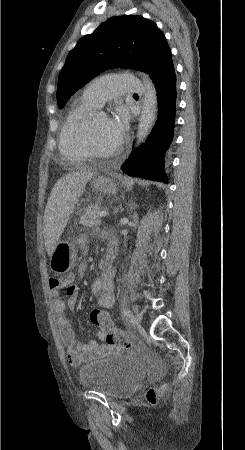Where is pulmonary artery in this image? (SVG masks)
<instances>
[{"label":"pulmonary artery","instance_id":"pulmonary-artery-1","mask_svg":"<svg viewBox=\"0 0 245 450\" xmlns=\"http://www.w3.org/2000/svg\"><path fill=\"white\" fill-rule=\"evenodd\" d=\"M142 81L133 75L116 74L101 76L88 83L83 95L96 106L124 94L141 93Z\"/></svg>","mask_w":245,"mask_h":450}]
</instances>
